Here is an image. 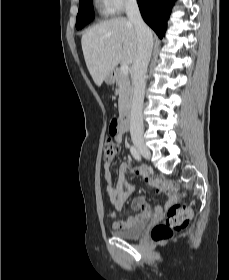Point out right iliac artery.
Returning <instances> with one entry per match:
<instances>
[{"instance_id":"1","label":"right iliac artery","mask_w":229,"mask_h":280,"mask_svg":"<svg viewBox=\"0 0 229 280\" xmlns=\"http://www.w3.org/2000/svg\"><path fill=\"white\" fill-rule=\"evenodd\" d=\"M130 152L137 161H141L140 153L134 146L130 147Z\"/></svg>"}]
</instances>
